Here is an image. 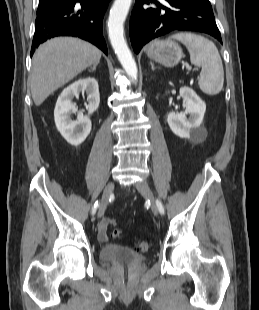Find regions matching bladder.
Returning <instances> with one entry per match:
<instances>
[{"label": "bladder", "instance_id": "31cf9c89", "mask_svg": "<svg viewBox=\"0 0 259 310\" xmlns=\"http://www.w3.org/2000/svg\"><path fill=\"white\" fill-rule=\"evenodd\" d=\"M99 257L105 262L121 266H130L145 261L144 255L116 244L104 245L100 249Z\"/></svg>", "mask_w": 259, "mask_h": 310}]
</instances>
